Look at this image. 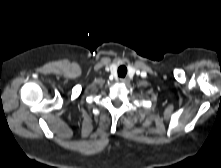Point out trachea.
Returning <instances> with one entry per match:
<instances>
[{
  "mask_svg": "<svg viewBox=\"0 0 221 168\" xmlns=\"http://www.w3.org/2000/svg\"><path fill=\"white\" fill-rule=\"evenodd\" d=\"M126 74H127V68H126V66H124V65L120 66V67L118 68V76L121 77V78H123V77L126 76Z\"/></svg>",
  "mask_w": 221,
  "mask_h": 168,
  "instance_id": "3493384b",
  "label": "trachea"
}]
</instances>
